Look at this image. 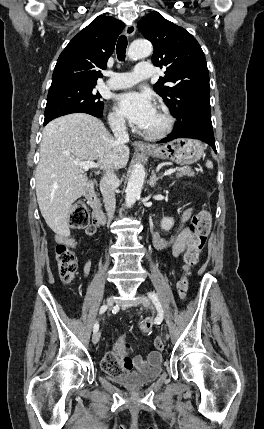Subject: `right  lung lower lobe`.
<instances>
[{
  "mask_svg": "<svg viewBox=\"0 0 264 429\" xmlns=\"http://www.w3.org/2000/svg\"><path fill=\"white\" fill-rule=\"evenodd\" d=\"M96 117V116H95ZM100 118V117H99ZM48 122H44V125H46Z\"/></svg>",
  "mask_w": 264,
  "mask_h": 429,
  "instance_id": "1",
  "label": "right lung lower lobe"
}]
</instances>
